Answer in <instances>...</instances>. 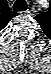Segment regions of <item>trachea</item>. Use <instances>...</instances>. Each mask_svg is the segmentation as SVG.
I'll return each instance as SVG.
<instances>
[{
  "label": "trachea",
  "instance_id": "3493384b",
  "mask_svg": "<svg viewBox=\"0 0 51 74\" xmlns=\"http://www.w3.org/2000/svg\"><path fill=\"white\" fill-rule=\"evenodd\" d=\"M27 3L24 0H16L13 5L14 11H25L27 10Z\"/></svg>",
  "mask_w": 51,
  "mask_h": 74
}]
</instances>
